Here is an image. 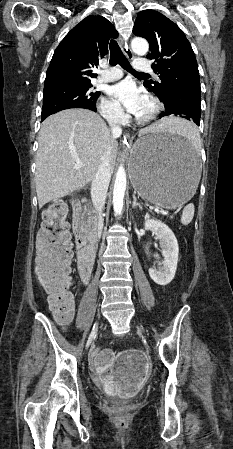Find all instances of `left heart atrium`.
<instances>
[{"label": "left heart atrium", "mask_w": 233, "mask_h": 449, "mask_svg": "<svg viewBox=\"0 0 233 449\" xmlns=\"http://www.w3.org/2000/svg\"><path fill=\"white\" fill-rule=\"evenodd\" d=\"M108 92L127 112L136 116L139 115L147 100V95L130 80L111 86Z\"/></svg>", "instance_id": "1"}]
</instances>
